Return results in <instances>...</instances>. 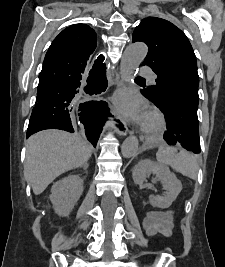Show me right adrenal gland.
<instances>
[{"label": "right adrenal gland", "instance_id": "1", "mask_svg": "<svg viewBox=\"0 0 225 267\" xmlns=\"http://www.w3.org/2000/svg\"><path fill=\"white\" fill-rule=\"evenodd\" d=\"M87 168H88V164L86 163V164L83 165V169H84L85 171H87Z\"/></svg>", "mask_w": 225, "mask_h": 267}]
</instances>
